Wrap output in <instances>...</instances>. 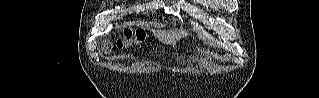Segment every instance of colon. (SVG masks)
Listing matches in <instances>:
<instances>
[{"instance_id":"5ec220e1","label":"colon","mask_w":319,"mask_h":98,"mask_svg":"<svg viewBox=\"0 0 319 98\" xmlns=\"http://www.w3.org/2000/svg\"><path fill=\"white\" fill-rule=\"evenodd\" d=\"M146 42V33L143 30L127 29L123 33V37L118 40L119 47L142 45Z\"/></svg>"}]
</instances>
